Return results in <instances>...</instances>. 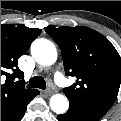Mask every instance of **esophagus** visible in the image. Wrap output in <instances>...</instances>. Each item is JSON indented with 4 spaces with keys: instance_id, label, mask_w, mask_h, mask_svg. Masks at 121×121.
Returning <instances> with one entry per match:
<instances>
[{
    "instance_id": "34e87169",
    "label": "esophagus",
    "mask_w": 121,
    "mask_h": 121,
    "mask_svg": "<svg viewBox=\"0 0 121 121\" xmlns=\"http://www.w3.org/2000/svg\"><path fill=\"white\" fill-rule=\"evenodd\" d=\"M44 93H45V95L49 96V95H51L52 92H51V90L48 89Z\"/></svg>"
}]
</instances>
